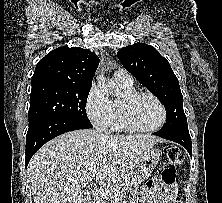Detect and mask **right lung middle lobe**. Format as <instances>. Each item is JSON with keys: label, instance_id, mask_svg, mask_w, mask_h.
Wrapping results in <instances>:
<instances>
[{"label": "right lung middle lobe", "instance_id": "1", "mask_svg": "<svg viewBox=\"0 0 222 203\" xmlns=\"http://www.w3.org/2000/svg\"><path fill=\"white\" fill-rule=\"evenodd\" d=\"M91 86H53L32 90L29 122L42 117H65L89 121L85 104Z\"/></svg>", "mask_w": 222, "mask_h": 203}]
</instances>
